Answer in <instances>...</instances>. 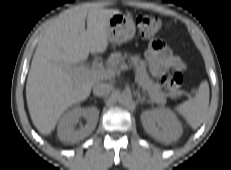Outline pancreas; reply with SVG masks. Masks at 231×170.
<instances>
[{
    "instance_id": "obj_1",
    "label": "pancreas",
    "mask_w": 231,
    "mask_h": 170,
    "mask_svg": "<svg viewBox=\"0 0 231 170\" xmlns=\"http://www.w3.org/2000/svg\"><path fill=\"white\" fill-rule=\"evenodd\" d=\"M129 57L130 63L135 68V80L138 85L148 93L152 102L164 105L166 103L167 93L161 90L159 83H155L150 77L146 69V63L140 60L138 55L125 53L122 55L120 51L111 53L106 63L107 69L119 71L122 64H125V59Z\"/></svg>"
}]
</instances>
